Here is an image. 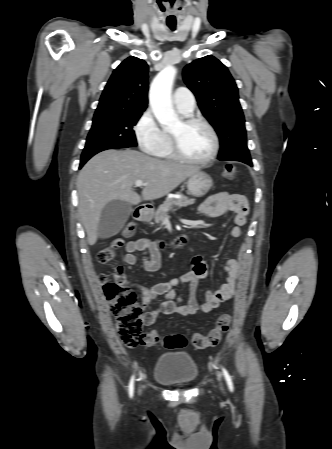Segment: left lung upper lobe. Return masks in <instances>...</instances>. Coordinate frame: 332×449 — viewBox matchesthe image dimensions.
I'll use <instances>...</instances> for the list:
<instances>
[{"label": "left lung upper lobe", "instance_id": "obj_1", "mask_svg": "<svg viewBox=\"0 0 332 449\" xmlns=\"http://www.w3.org/2000/svg\"><path fill=\"white\" fill-rule=\"evenodd\" d=\"M183 78L219 136L218 159L251 161L238 88L227 67L209 55L185 66Z\"/></svg>", "mask_w": 332, "mask_h": 449}]
</instances>
